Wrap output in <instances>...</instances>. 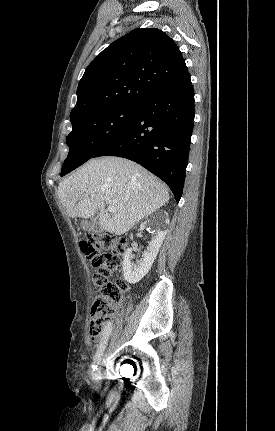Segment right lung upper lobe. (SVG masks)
Masks as SVG:
<instances>
[{"mask_svg":"<svg viewBox=\"0 0 275 431\" xmlns=\"http://www.w3.org/2000/svg\"><path fill=\"white\" fill-rule=\"evenodd\" d=\"M188 72L175 42L159 29H135L113 42L86 68L71 123L101 109L137 107Z\"/></svg>","mask_w":275,"mask_h":431,"instance_id":"cb5924a9","label":"right lung upper lobe"}]
</instances>
